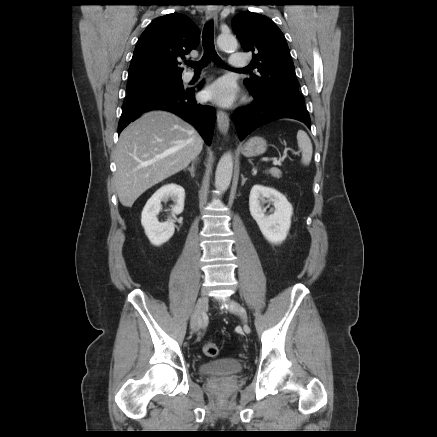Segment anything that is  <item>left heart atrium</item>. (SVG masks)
Listing matches in <instances>:
<instances>
[{"instance_id": "obj_1", "label": "left heart atrium", "mask_w": 437, "mask_h": 437, "mask_svg": "<svg viewBox=\"0 0 437 437\" xmlns=\"http://www.w3.org/2000/svg\"><path fill=\"white\" fill-rule=\"evenodd\" d=\"M204 96L206 99L221 106L229 107L236 99L237 88L232 81L228 79H220L204 91Z\"/></svg>"}]
</instances>
